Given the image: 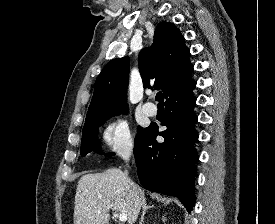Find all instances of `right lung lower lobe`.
<instances>
[{
    "instance_id": "98d812e1",
    "label": "right lung lower lobe",
    "mask_w": 275,
    "mask_h": 224,
    "mask_svg": "<svg viewBox=\"0 0 275 224\" xmlns=\"http://www.w3.org/2000/svg\"><path fill=\"white\" fill-rule=\"evenodd\" d=\"M192 78L183 87L172 92L165 101L166 119L158 132V125H150L135 139L134 155L138 177L145 189L175 195L190 212L195 204L194 180L199 155L194 147L198 134L194 124L198 117L193 108L196 98ZM162 136L164 142L156 141Z\"/></svg>"
}]
</instances>
